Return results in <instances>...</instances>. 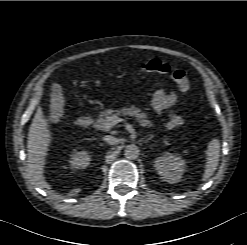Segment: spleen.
<instances>
[{"mask_svg":"<svg viewBox=\"0 0 247 245\" xmlns=\"http://www.w3.org/2000/svg\"><path fill=\"white\" fill-rule=\"evenodd\" d=\"M206 164L203 174V181L209 179L217 169L220 157V142L218 139H213L209 142L206 151Z\"/></svg>","mask_w":247,"mask_h":245,"instance_id":"1","label":"spleen"}]
</instances>
